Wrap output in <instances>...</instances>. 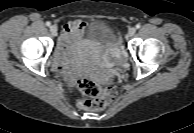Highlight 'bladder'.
<instances>
[{
    "instance_id": "1",
    "label": "bladder",
    "mask_w": 194,
    "mask_h": 133,
    "mask_svg": "<svg viewBox=\"0 0 194 133\" xmlns=\"http://www.w3.org/2000/svg\"><path fill=\"white\" fill-rule=\"evenodd\" d=\"M84 43L98 48L101 53L112 58L119 52V42L114 30L102 21L92 22L80 37Z\"/></svg>"
}]
</instances>
